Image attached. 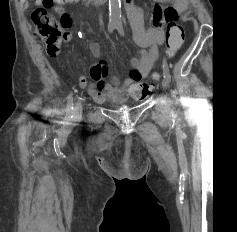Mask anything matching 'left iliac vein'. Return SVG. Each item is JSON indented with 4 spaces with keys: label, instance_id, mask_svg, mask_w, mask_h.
Returning <instances> with one entry per match:
<instances>
[{
    "label": "left iliac vein",
    "instance_id": "1",
    "mask_svg": "<svg viewBox=\"0 0 237 232\" xmlns=\"http://www.w3.org/2000/svg\"><path fill=\"white\" fill-rule=\"evenodd\" d=\"M162 87L164 89H168L169 88V80L167 78H165V77L162 79Z\"/></svg>",
    "mask_w": 237,
    "mask_h": 232
}]
</instances>
